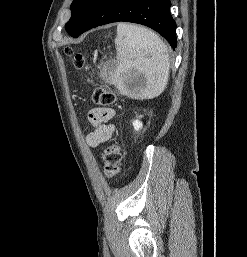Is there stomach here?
<instances>
[{
    "label": "stomach",
    "mask_w": 247,
    "mask_h": 257,
    "mask_svg": "<svg viewBox=\"0 0 247 257\" xmlns=\"http://www.w3.org/2000/svg\"><path fill=\"white\" fill-rule=\"evenodd\" d=\"M128 85V81L126 82V86Z\"/></svg>",
    "instance_id": "0dacf381"
}]
</instances>
